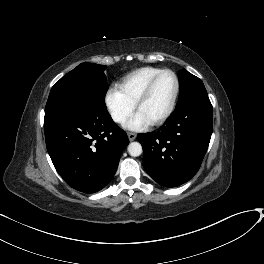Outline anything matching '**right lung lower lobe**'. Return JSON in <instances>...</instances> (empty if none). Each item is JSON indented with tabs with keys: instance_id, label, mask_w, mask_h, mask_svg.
<instances>
[{
	"instance_id": "obj_1",
	"label": "right lung lower lobe",
	"mask_w": 264,
	"mask_h": 264,
	"mask_svg": "<svg viewBox=\"0 0 264 264\" xmlns=\"http://www.w3.org/2000/svg\"><path fill=\"white\" fill-rule=\"evenodd\" d=\"M44 132L57 172L84 193L97 192L109 183L129 144L107 108L91 104L45 115Z\"/></svg>"
}]
</instances>
